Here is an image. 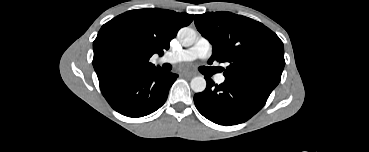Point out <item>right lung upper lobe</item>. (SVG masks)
Returning <instances> with one entry per match:
<instances>
[{
	"label": "right lung upper lobe",
	"mask_w": 369,
	"mask_h": 152,
	"mask_svg": "<svg viewBox=\"0 0 369 152\" xmlns=\"http://www.w3.org/2000/svg\"><path fill=\"white\" fill-rule=\"evenodd\" d=\"M193 18L187 13L149 8L125 12L104 24L93 42V66L100 87L129 73L156 69L149 62L151 56L163 55L178 30Z\"/></svg>",
	"instance_id": "cb5924a9"
}]
</instances>
